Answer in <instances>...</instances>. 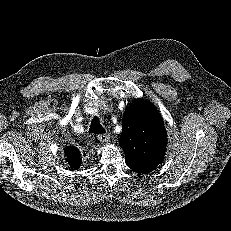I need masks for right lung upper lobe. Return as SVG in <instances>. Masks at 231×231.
I'll return each mask as SVG.
<instances>
[{"label":"right lung upper lobe","mask_w":231,"mask_h":231,"mask_svg":"<svg viewBox=\"0 0 231 231\" xmlns=\"http://www.w3.org/2000/svg\"><path fill=\"white\" fill-rule=\"evenodd\" d=\"M65 155L67 156L66 160L71 168L76 169L81 165V159L79 157L80 155L76 156L72 153H69L68 151L65 152Z\"/></svg>","instance_id":"1"}]
</instances>
